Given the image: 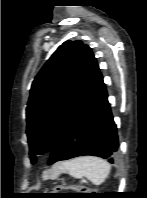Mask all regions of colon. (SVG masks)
I'll list each match as a JSON object with an SVG mask.
<instances>
[{
	"label": "colon",
	"mask_w": 147,
	"mask_h": 198,
	"mask_svg": "<svg viewBox=\"0 0 147 198\" xmlns=\"http://www.w3.org/2000/svg\"><path fill=\"white\" fill-rule=\"evenodd\" d=\"M58 189L73 190V191H76V192H83V191L87 190L83 187H73V186H66V187H62V188H58Z\"/></svg>",
	"instance_id": "obj_1"
}]
</instances>
